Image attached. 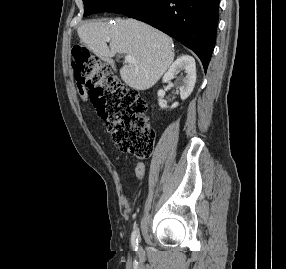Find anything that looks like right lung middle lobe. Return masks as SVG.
<instances>
[{"mask_svg":"<svg viewBox=\"0 0 286 269\" xmlns=\"http://www.w3.org/2000/svg\"><path fill=\"white\" fill-rule=\"evenodd\" d=\"M153 0H83L84 16L98 12L129 15L149 5Z\"/></svg>","mask_w":286,"mask_h":269,"instance_id":"1","label":"right lung middle lobe"}]
</instances>
